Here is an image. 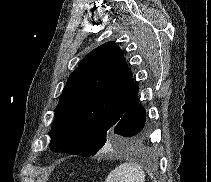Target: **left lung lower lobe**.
Here are the masks:
<instances>
[{"label": "left lung lower lobe", "instance_id": "left-lung-lower-lobe-1", "mask_svg": "<svg viewBox=\"0 0 211 182\" xmlns=\"http://www.w3.org/2000/svg\"><path fill=\"white\" fill-rule=\"evenodd\" d=\"M145 122V109L139 104L137 97L114 126L110 142L117 146H126L133 140L145 136L148 132V126L145 125Z\"/></svg>", "mask_w": 211, "mask_h": 182}]
</instances>
